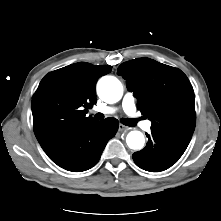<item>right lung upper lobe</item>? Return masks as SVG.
I'll return each instance as SVG.
<instances>
[{
  "label": "right lung upper lobe",
  "mask_w": 221,
  "mask_h": 221,
  "mask_svg": "<svg viewBox=\"0 0 221 221\" xmlns=\"http://www.w3.org/2000/svg\"><path fill=\"white\" fill-rule=\"evenodd\" d=\"M112 66L75 63L48 73L32 99L34 133L43 150L73 129L95 121L86 117L96 104V82Z\"/></svg>",
  "instance_id": "cb5924a9"
}]
</instances>
